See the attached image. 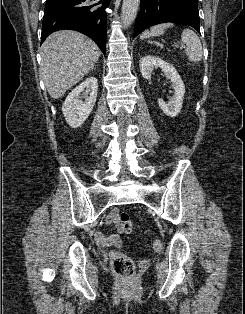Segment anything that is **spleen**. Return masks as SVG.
I'll list each match as a JSON object with an SVG mask.
<instances>
[{
    "mask_svg": "<svg viewBox=\"0 0 245 314\" xmlns=\"http://www.w3.org/2000/svg\"><path fill=\"white\" fill-rule=\"evenodd\" d=\"M173 23H161L150 27V30H145L141 35V39H146L151 36L163 35L165 30L169 27H172ZM181 43L186 45L184 54L188 57L189 60L194 62H199L202 59L203 51L202 45L199 37L196 33L190 29H185L181 35ZM174 47H177V43L174 44Z\"/></svg>",
    "mask_w": 245,
    "mask_h": 314,
    "instance_id": "3e777b00",
    "label": "spleen"
}]
</instances>
